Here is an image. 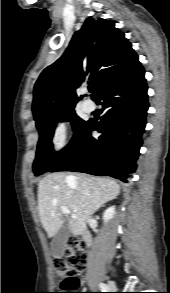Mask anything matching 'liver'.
Wrapping results in <instances>:
<instances>
[{
    "mask_svg": "<svg viewBox=\"0 0 170 293\" xmlns=\"http://www.w3.org/2000/svg\"><path fill=\"white\" fill-rule=\"evenodd\" d=\"M120 193L119 184L109 178L83 173L48 174L38 184V210L43 228L53 237L64 223L61 207L76 218L68 221L73 236L83 234L88 219Z\"/></svg>",
    "mask_w": 170,
    "mask_h": 293,
    "instance_id": "liver-1",
    "label": "liver"
}]
</instances>
